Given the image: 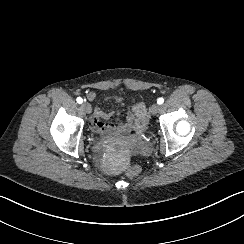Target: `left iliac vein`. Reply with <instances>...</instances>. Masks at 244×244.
Instances as JSON below:
<instances>
[{
    "instance_id": "left-iliac-vein-1",
    "label": "left iliac vein",
    "mask_w": 244,
    "mask_h": 244,
    "mask_svg": "<svg viewBox=\"0 0 244 244\" xmlns=\"http://www.w3.org/2000/svg\"><path fill=\"white\" fill-rule=\"evenodd\" d=\"M160 110V105L158 104H153L151 107H150V113L155 115L159 112Z\"/></svg>"
}]
</instances>
